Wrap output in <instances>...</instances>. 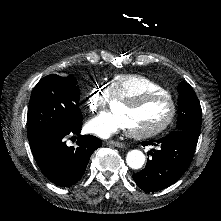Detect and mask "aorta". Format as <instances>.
Listing matches in <instances>:
<instances>
[{"instance_id": "aorta-1", "label": "aorta", "mask_w": 221, "mask_h": 221, "mask_svg": "<svg viewBox=\"0 0 221 221\" xmlns=\"http://www.w3.org/2000/svg\"><path fill=\"white\" fill-rule=\"evenodd\" d=\"M126 163L132 169H140L145 163V155L140 150H131L126 156Z\"/></svg>"}]
</instances>
